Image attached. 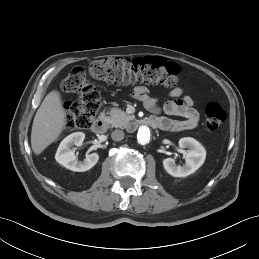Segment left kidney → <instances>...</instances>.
<instances>
[{
	"label": "left kidney",
	"instance_id": "5707ae66",
	"mask_svg": "<svg viewBox=\"0 0 259 259\" xmlns=\"http://www.w3.org/2000/svg\"><path fill=\"white\" fill-rule=\"evenodd\" d=\"M180 148H187L185 164L177 165L172 158L163 160L164 169L173 177H186L199 169L206 158L204 147L194 138L184 137L179 140Z\"/></svg>",
	"mask_w": 259,
	"mask_h": 259
}]
</instances>
